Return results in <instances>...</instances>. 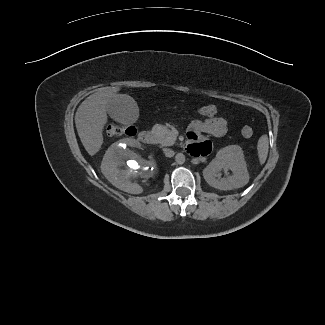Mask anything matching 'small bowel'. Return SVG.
Here are the masks:
<instances>
[{
	"label": "small bowel",
	"instance_id": "obj_1",
	"mask_svg": "<svg viewBox=\"0 0 325 325\" xmlns=\"http://www.w3.org/2000/svg\"><path fill=\"white\" fill-rule=\"evenodd\" d=\"M225 131L226 121L221 117L212 116L208 119L194 120L189 127L190 143L187 145V152L193 157L208 155L212 150V143L200 134L207 133L214 137H221Z\"/></svg>",
	"mask_w": 325,
	"mask_h": 325
}]
</instances>
